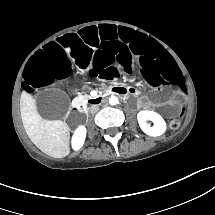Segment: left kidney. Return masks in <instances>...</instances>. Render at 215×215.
<instances>
[{
  "instance_id": "left-kidney-1",
  "label": "left kidney",
  "mask_w": 215,
  "mask_h": 215,
  "mask_svg": "<svg viewBox=\"0 0 215 215\" xmlns=\"http://www.w3.org/2000/svg\"><path fill=\"white\" fill-rule=\"evenodd\" d=\"M137 120L141 130L149 136H160L166 131L164 119L154 111H140L137 114ZM152 121L153 127H150L146 121Z\"/></svg>"
}]
</instances>
